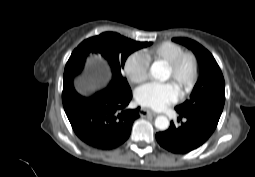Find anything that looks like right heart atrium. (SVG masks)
Wrapping results in <instances>:
<instances>
[{
	"mask_svg": "<svg viewBox=\"0 0 255 177\" xmlns=\"http://www.w3.org/2000/svg\"><path fill=\"white\" fill-rule=\"evenodd\" d=\"M149 66L150 62L144 53L134 52L126 58L124 72L130 82L139 84L147 78Z\"/></svg>",
	"mask_w": 255,
	"mask_h": 177,
	"instance_id": "1",
	"label": "right heart atrium"
}]
</instances>
